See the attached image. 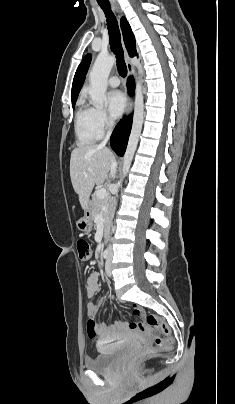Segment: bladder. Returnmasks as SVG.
I'll use <instances>...</instances> for the list:
<instances>
[{
    "label": "bladder",
    "instance_id": "obj_1",
    "mask_svg": "<svg viewBox=\"0 0 235 404\" xmlns=\"http://www.w3.org/2000/svg\"><path fill=\"white\" fill-rule=\"evenodd\" d=\"M99 349L100 352L95 357L85 360V366L96 373L109 372L119 359L123 348L101 346Z\"/></svg>",
    "mask_w": 235,
    "mask_h": 404
}]
</instances>
